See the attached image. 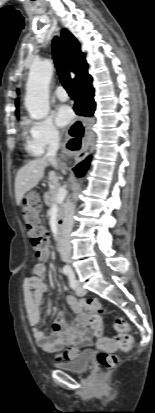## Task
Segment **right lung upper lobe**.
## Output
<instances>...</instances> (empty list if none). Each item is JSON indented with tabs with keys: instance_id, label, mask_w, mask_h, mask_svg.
I'll return each instance as SVG.
<instances>
[{
	"instance_id": "right-lung-upper-lobe-1",
	"label": "right lung upper lobe",
	"mask_w": 155,
	"mask_h": 413,
	"mask_svg": "<svg viewBox=\"0 0 155 413\" xmlns=\"http://www.w3.org/2000/svg\"><path fill=\"white\" fill-rule=\"evenodd\" d=\"M63 45L66 51L68 66L76 74L73 82L84 74H87L88 64L85 54L80 51V44L77 39L66 29L61 32ZM18 105V100L16 101ZM18 114V111L16 112Z\"/></svg>"
}]
</instances>
